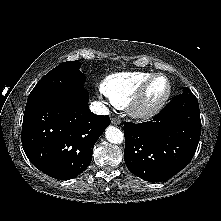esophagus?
Segmentation results:
<instances>
[{"label": "esophagus", "mask_w": 221, "mask_h": 221, "mask_svg": "<svg viewBox=\"0 0 221 221\" xmlns=\"http://www.w3.org/2000/svg\"><path fill=\"white\" fill-rule=\"evenodd\" d=\"M111 123L114 125H119V124H121V119H119L118 117H113L111 119Z\"/></svg>", "instance_id": "obj_1"}]
</instances>
